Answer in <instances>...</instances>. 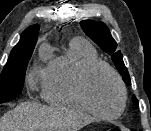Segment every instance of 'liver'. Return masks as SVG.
Returning <instances> with one entry per match:
<instances>
[{"label":"liver","instance_id":"liver-1","mask_svg":"<svg viewBox=\"0 0 151 131\" xmlns=\"http://www.w3.org/2000/svg\"><path fill=\"white\" fill-rule=\"evenodd\" d=\"M93 118L70 107L22 102L0 119V131H78Z\"/></svg>","mask_w":151,"mask_h":131}]
</instances>
